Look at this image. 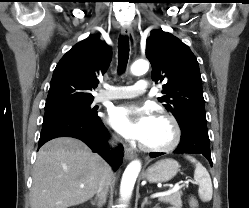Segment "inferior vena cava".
Instances as JSON below:
<instances>
[{
	"mask_svg": "<svg viewBox=\"0 0 249 208\" xmlns=\"http://www.w3.org/2000/svg\"><path fill=\"white\" fill-rule=\"evenodd\" d=\"M117 140H118L117 137H114L113 140L110 141V144L112 146H115ZM110 183H111V178H110L109 174H107V175H105V177H104L103 181L101 182L100 187L98 189L97 196H98L100 202H103L104 200H106V195H107V192L109 190Z\"/></svg>",
	"mask_w": 249,
	"mask_h": 208,
	"instance_id": "1",
	"label": "inferior vena cava"
}]
</instances>
